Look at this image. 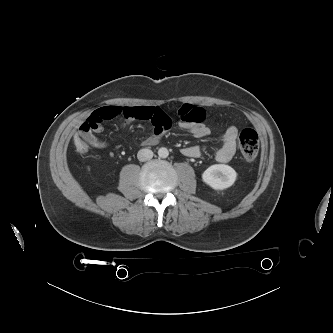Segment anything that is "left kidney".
<instances>
[{"instance_id": "5707ae66", "label": "left kidney", "mask_w": 333, "mask_h": 333, "mask_svg": "<svg viewBox=\"0 0 333 333\" xmlns=\"http://www.w3.org/2000/svg\"><path fill=\"white\" fill-rule=\"evenodd\" d=\"M236 177V171L225 164L212 165L202 174L203 181L215 190L229 188L234 184Z\"/></svg>"}]
</instances>
